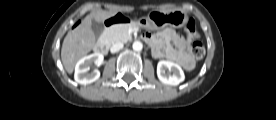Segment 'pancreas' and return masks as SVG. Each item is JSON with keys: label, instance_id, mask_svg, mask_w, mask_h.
I'll list each match as a JSON object with an SVG mask.
<instances>
[{"label": "pancreas", "instance_id": "1", "mask_svg": "<svg viewBox=\"0 0 276 120\" xmlns=\"http://www.w3.org/2000/svg\"><path fill=\"white\" fill-rule=\"evenodd\" d=\"M131 26L126 24H117L105 31L107 44L111 45L116 42H127L131 39L128 30Z\"/></svg>", "mask_w": 276, "mask_h": 120}]
</instances>
